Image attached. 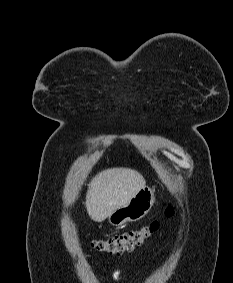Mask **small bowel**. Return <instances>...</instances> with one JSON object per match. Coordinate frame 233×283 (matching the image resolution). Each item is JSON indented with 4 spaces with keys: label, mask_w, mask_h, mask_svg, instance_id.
Wrapping results in <instances>:
<instances>
[{
    "label": "small bowel",
    "mask_w": 233,
    "mask_h": 283,
    "mask_svg": "<svg viewBox=\"0 0 233 283\" xmlns=\"http://www.w3.org/2000/svg\"><path fill=\"white\" fill-rule=\"evenodd\" d=\"M113 277H114L115 279H118V278L120 277V271H119V270H115V271L113 272Z\"/></svg>",
    "instance_id": "1"
}]
</instances>
